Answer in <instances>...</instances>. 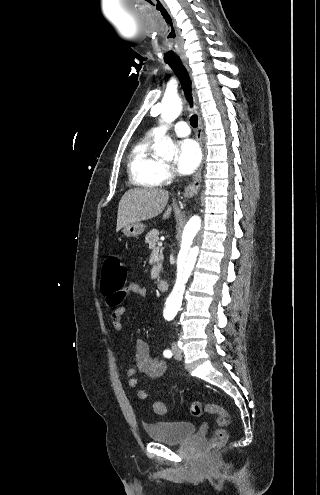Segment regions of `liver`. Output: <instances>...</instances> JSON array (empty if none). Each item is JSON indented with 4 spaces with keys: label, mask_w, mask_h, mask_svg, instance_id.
I'll list each match as a JSON object with an SVG mask.
<instances>
[{
    "label": "liver",
    "mask_w": 320,
    "mask_h": 495,
    "mask_svg": "<svg viewBox=\"0 0 320 495\" xmlns=\"http://www.w3.org/2000/svg\"><path fill=\"white\" fill-rule=\"evenodd\" d=\"M169 199V193L163 189H131L121 198L118 206V232L129 223L146 221L163 212ZM172 208L168 206L163 219L170 217Z\"/></svg>",
    "instance_id": "6515ba94"
}]
</instances>
